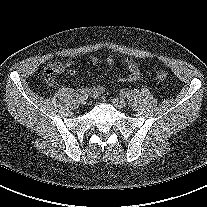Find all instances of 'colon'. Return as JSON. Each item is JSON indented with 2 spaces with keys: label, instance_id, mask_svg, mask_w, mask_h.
Masks as SVG:
<instances>
[{
  "label": "colon",
  "instance_id": "5ec220e1",
  "mask_svg": "<svg viewBox=\"0 0 207 207\" xmlns=\"http://www.w3.org/2000/svg\"><path fill=\"white\" fill-rule=\"evenodd\" d=\"M60 71H61V69H60V66H59L58 62L51 63L44 70L43 75H44L45 81L48 84L52 85L55 81L56 75L60 74ZM155 78L158 81L163 82L167 78V73L164 70H161V69L156 70Z\"/></svg>",
  "mask_w": 207,
  "mask_h": 207
}]
</instances>
